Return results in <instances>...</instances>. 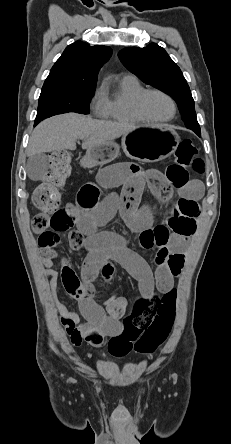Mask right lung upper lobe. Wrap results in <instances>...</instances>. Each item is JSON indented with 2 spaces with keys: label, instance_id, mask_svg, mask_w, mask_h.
Wrapping results in <instances>:
<instances>
[{
  "label": "right lung upper lobe",
  "instance_id": "right-lung-upper-lobe-1",
  "mask_svg": "<svg viewBox=\"0 0 231 444\" xmlns=\"http://www.w3.org/2000/svg\"><path fill=\"white\" fill-rule=\"evenodd\" d=\"M111 54L112 49L108 46H90L82 41L68 45L52 67L42 89L95 88L98 72Z\"/></svg>",
  "mask_w": 231,
  "mask_h": 444
}]
</instances>
